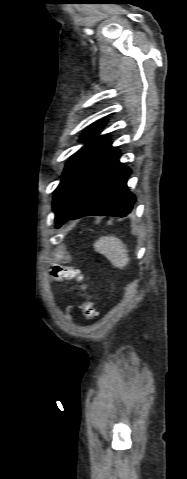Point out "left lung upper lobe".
Masks as SVG:
<instances>
[{
  "label": "left lung upper lobe",
  "instance_id": "1",
  "mask_svg": "<svg viewBox=\"0 0 187 479\" xmlns=\"http://www.w3.org/2000/svg\"><path fill=\"white\" fill-rule=\"evenodd\" d=\"M103 126L104 122H97L82 134L81 140H92L89 141L82 150L75 153L67 162L62 175V182L54 192L53 207H56L60 203L83 171L111 147V143L98 135Z\"/></svg>",
  "mask_w": 187,
  "mask_h": 479
}]
</instances>
